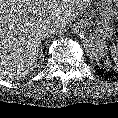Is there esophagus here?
<instances>
[{
    "label": "esophagus",
    "instance_id": "esophagus-1",
    "mask_svg": "<svg viewBox=\"0 0 118 118\" xmlns=\"http://www.w3.org/2000/svg\"><path fill=\"white\" fill-rule=\"evenodd\" d=\"M73 32L80 38H85L87 34L86 23L84 20L77 21L73 26Z\"/></svg>",
    "mask_w": 118,
    "mask_h": 118
}]
</instances>
